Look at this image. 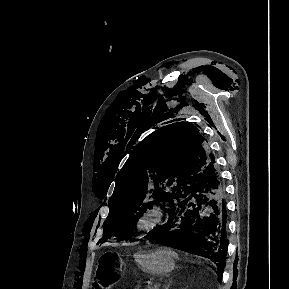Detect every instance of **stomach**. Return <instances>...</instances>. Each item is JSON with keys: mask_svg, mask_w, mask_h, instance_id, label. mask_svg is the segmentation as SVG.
<instances>
[{"mask_svg": "<svg viewBox=\"0 0 289 289\" xmlns=\"http://www.w3.org/2000/svg\"><path fill=\"white\" fill-rule=\"evenodd\" d=\"M174 253L168 248L154 252H138L134 255L141 270L151 275H165L174 269Z\"/></svg>", "mask_w": 289, "mask_h": 289, "instance_id": "0dacf381", "label": "stomach"}]
</instances>
